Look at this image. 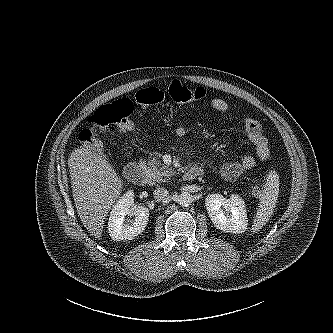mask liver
Here are the masks:
<instances>
[{"label": "liver", "mask_w": 333, "mask_h": 333, "mask_svg": "<svg viewBox=\"0 0 333 333\" xmlns=\"http://www.w3.org/2000/svg\"><path fill=\"white\" fill-rule=\"evenodd\" d=\"M68 167L80 220L91 235L100 239L108 211L122 191V181L111 164L88 147L75 149Z\"/></svg>", "instance_id": "liver-1"}]
</instances>
